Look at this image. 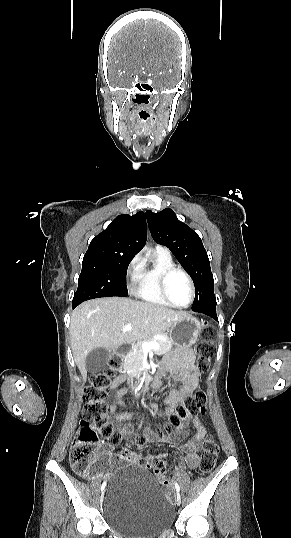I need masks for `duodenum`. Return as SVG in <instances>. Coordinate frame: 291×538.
Listing matches in <instances>:
<instances>
[{
	"label": "duodenum",
	"instance_id": "410a0bca",
	"mask_svg": "<svg viewBox=\"0 0 291 538\" xmlns=\"http://www.w3.org/2000/svg\"><path fill=\"white\" fill-rule=\"evenodd\" d=\"M130 351H131V347H128V346H122L118 349V352L123 356L130 353ZM132 378H134V381H132ZM140 378H142V373H131V378H128V381H132V382L129 383V386H131L132 388L136 387L138 389L143 388L144 383L143 381L140 380ZM131 394H133L134 396H137L139 394V391L137 389H134L133 391H131Z\"/></svg>",
	"mask_w": 291,
	"mask_h": 538
}]
</instances>
